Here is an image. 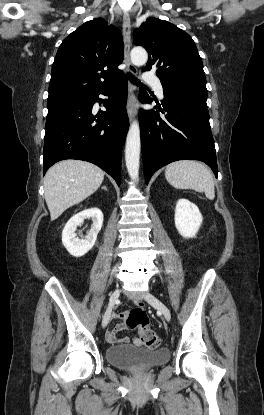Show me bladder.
I'll return each instance as SVG.
<instances>
[{
	"instance_id": "obj_1",
	"label": "bladder",
	"mask_w": 264,
	"mask_h": 415,
	"mask_svg": "<svg viewBox=\"0 0 264 415\" xmlns=\"http://www.w3.org/2000/svg\"><path fill=\"white\" fill-rule=\"evenodd\" d=\"M105 358L110 365L125 370L152 368L165 364L169 360V350L127 344L108 347L105 350Z\"/></svg>"
}]
</instances>
